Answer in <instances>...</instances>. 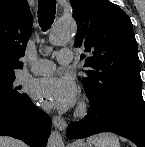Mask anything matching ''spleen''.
<instances>
[{
  "label": "spleen",
  "mask_w": 145,
  "mask_h": 147,
  "mask_svg": "<svg viewBox=\"0 0 145 147\" xmlns=\"http://www.w3.org/2000/svg\"><path fill=\"white\" fill-rule=\"evenodd\" d=\"M88 142L95 147H120L117 136L111 133H102L92 136L88 139Z\"/></svg>",
  "instance_id": "spleen-1"
}]
</instances>
